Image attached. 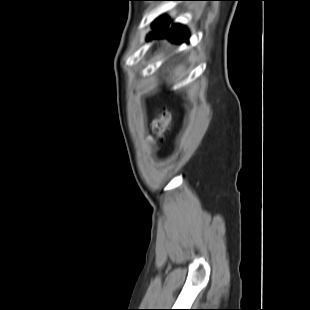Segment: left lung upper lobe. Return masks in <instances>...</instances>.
Segmentation results:
<instances>
[{"instance_id": "5c2ea615", "label": "left lung upper lobe", "mask_w": 310, "mask_h": 310, "mask_svg": "<svg viewBox=\"0 0 310 310\" xmlns=\"http://www.w3.org/2000/svg\"><path fill=\"white\" fill-rule=\"evenodd\" d=\"M163 26H165V25H164V24H163L162 26L160 25V26L157 28V30L163 28Z\"/></svg>"}]
</instances>
